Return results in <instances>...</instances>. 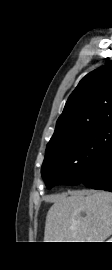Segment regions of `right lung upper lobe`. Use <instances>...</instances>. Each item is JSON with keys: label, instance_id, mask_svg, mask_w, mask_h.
<instances>
[{"label": "right lung upper lobe", "instance_id": "cb5924a9", "mask_svg": "<svg viewBox=\"0 0 112 270\" xmlns=\"http://www.w3.org/2000/svg\"><path fill=\"white\" fill-rule=\"evenodd\" d=\"M112 123V61L87 74L69 96L47 149Z\"/></svg>", "mask_w": 112, "mask_h": 270}]
</instances>
